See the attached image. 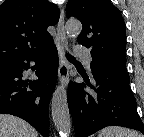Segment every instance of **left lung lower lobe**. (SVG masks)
Wrapping results in <instances>:
<instances>
[{
    "label": "left lung lower lobe",
    "mask_w": 144,
    "mask_h": 137,
    "mask_svg": "<svg viewBox=\"0 0 144 137\" xmlns=\"http://www.w3.org/2000/svg\"><path fill=\"white\" fill-rule=\"evenodd\" d=\"M95 87L69 83L68 106L76 137H87L106 126H123L144 134V125L137 113L136 100L129 86V75L91 63Z\"/></svg>",
    "instance_id": "obj_1"
}]
</instances>
